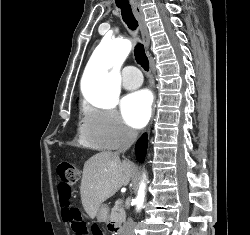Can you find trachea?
<instances>
[{
    "label": "trachea",
    "mask_w": 250,
    "mask_h": 235,
    "mask_svg": "<svg viewBox=\"0 0 250 235\" xmlns=\"http://www.w3.org/2000/svg\"><path fill=\"white\" fill-rule=\"evenodd\" d=\"M118 8H120L121 14H122V19L126 23L128 28L132 31L136 30L138 27V22H137L134 14L132 12L131 6L130 5H128V6L118 5ZM134 55H135V59H136L137 63L139 65H141V67L145 71H148L149 70V61H148V58L145 54L144 46L142 43H140V42L136 43L135 48H134Z\"/></svg>",
    "instance_id": "trachea-1"
}]
</instances>
